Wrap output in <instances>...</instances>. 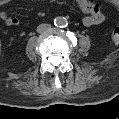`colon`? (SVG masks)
Masks as SVG:
<instances>
[{
    "label": "colon",
    "instance_id": "colon-1",
    "mask_svg": "<svg viewBox=\"0 0 119 119\" xmlns=\"http://www.w3.org/2000/svg\"><path fill=\"white\" fill-rule=\"evenodd\" d=\"M112 40L114 42H118L119 41V28H115L111 34Z\"/></svg>",
    "mask_w": 119,
    "mask_h": 119
}]
</instances>
